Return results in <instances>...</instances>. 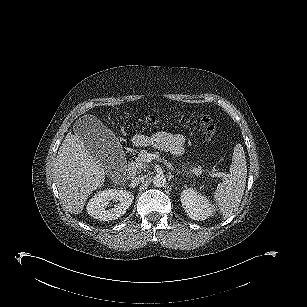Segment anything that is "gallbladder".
Returning a JSON list of instances; mask_svg holds the SVG:
<instances>
[{
  "label": "gallbladder",
  "mask_w": 307,
  "mask_h": 307,
  "mask_svg": "<svg viewBox=\"0 0 307 307\" xmlns=\"http://www.w3.org/2000/svg\"><path fill=\"white\" fill-rule=\"evenodd\" d=\"M78 131L86 148L102 163L107 166V171H112L113 162L121 154L117 140L98 123L90 118L86 119Z\"/></svg>",
  "instance_id": "bac80fb5"
}]
</instances>
